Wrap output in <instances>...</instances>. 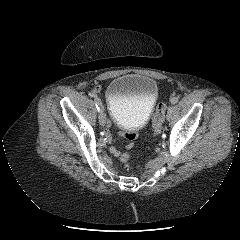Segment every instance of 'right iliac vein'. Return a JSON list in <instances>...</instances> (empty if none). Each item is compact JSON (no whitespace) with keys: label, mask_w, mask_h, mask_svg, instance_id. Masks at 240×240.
<instances>
[{"label":"right iliac vein","mask_w":240,"mask_h":240,"mask_svg":"<svg viewBox=\"0 0 240 240\" xmlns=\"http://www.w3.org/2000/svg\"><path fill=\"white\" fill-rule=\"evenodd\" d=\"M98 120L101 126H104L106 123V115L103 112V109L100 110L99 114H98Z\"/></svg>","instance_id":"right-iliac-vein-1"}]
</instances>
